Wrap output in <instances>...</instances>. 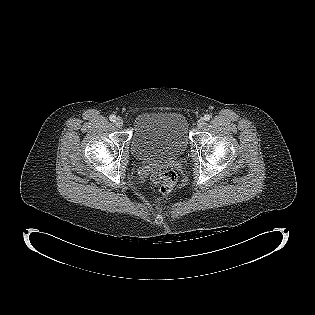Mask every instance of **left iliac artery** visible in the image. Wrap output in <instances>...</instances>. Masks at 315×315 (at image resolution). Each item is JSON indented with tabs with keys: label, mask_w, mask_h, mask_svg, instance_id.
Segmentation results:
<instances>
[{
	"label": "left iliac artery",
	"mask_w": 315,
	"mask_h": 315,
	"mask_svg": "<svg viewBox=\"0 0 315 315\" xmlns=\"http://www.w3.org/2000/svg\"><path fill=\"white\" fill-rule=\"evenodd\" d=\"M210 118H211V116H210L209 114H205V115H204V120H205V121H209Z\"/></svg>",
	"instance_id": "1"
}]
</instances>
